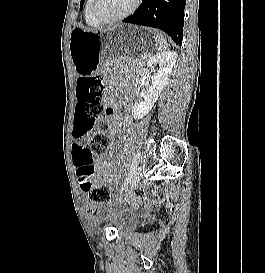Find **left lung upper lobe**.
<instances>
[{"label": "left lung upper lobe", "mask_w": 265, "mask_h": 273, "mask_svg": "<svg viewBox=\"0 0 265 273\" xmlns=\"http://www.w3.org/2000/svg\"><path fill=\"white\" fill-rule=\"evenodd\" d=\"M83 2H84V0H81V3H80L81 7H82V5H83Z\"/></svg>", "instance_id": "left-lung-upper-lobe-1"}]
</instances>
